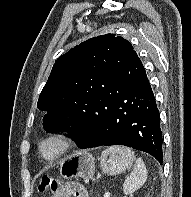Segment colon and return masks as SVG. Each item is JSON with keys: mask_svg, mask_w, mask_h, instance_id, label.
<instances>
[{"mask_svg": "<svg viewBox=\"0 0 191 197\" xmlns=\"http://www.w3.org/2000/svg\"><path fill=\"white\" fill-rule=\"evenodd\" d=\"M37 190L40 193H45L48 191L56 192L58 190V186L54 178L45 175L40 178Z\"/></svg>", "mask_w": 191, "mask_h": 197, "instance_id": "colon-1", "label": "colon"}]
</instances>
